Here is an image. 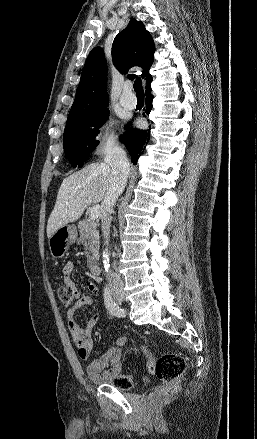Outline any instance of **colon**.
I'll return each instance as SVG.
<instances>
[{"label":"colon","instance_id":"obj_1","mask_svg":"<svg viewBox=\"0 0 257 439\" xmlns=\"http://www.w3.org/2000/svg\"><path fill=\"white\" fill-rule=\"evenodd\" d=\"M57 293L64 306L69 307L73 304L75 295L70 287L61 284L57 287ZM143 352L147 358L149 370L162 382L151 399L159 400L170 396L178 388L179 380L187 367L186 360L180 354L176 353L165 354L155 360L145 347H143ZM113 384L119 389L127 390L133 386L134 380L129 374L119 373L113 378Z\"/></svg>","mask_w":257,"mask_h":439}]
</instances>
